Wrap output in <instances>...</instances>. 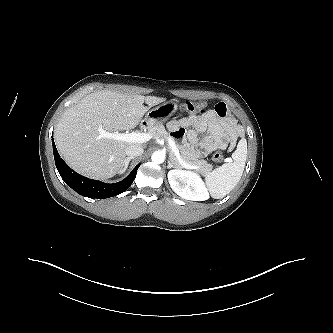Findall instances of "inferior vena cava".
<instances>
[{"label":"inferior vena cava","mask_w":333,"mask_h":333,"mask_svg":"<svg viewBox=\"0 0 333 333\" xmlns=\"http://www.w3.org/2000/svg\"><path fill=\"white\" fill-rule=\"evenodd\" d=\"M128 157H136L143 154V148L138 144H132L128 146L125 150Z\"/></svg>","instance_id":"1"}]
</instances>
